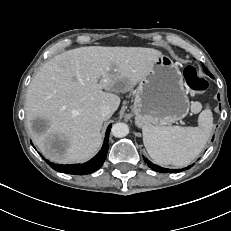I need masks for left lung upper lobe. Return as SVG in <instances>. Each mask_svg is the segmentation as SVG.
I'll return each instance as SVG.
<instances>
[{"label": "left lung upper lobe", "instance_id": "left-lung-upper-lobe-1", "mask_svg": "<svg viewBox=\"0 0 231 231\" xmlns=\"http://www.w3.org/2000/svg\"><path fill=\"white\" fill-rule=\"evenodd\" d=\"M204 71L206 72V74H208L209 76L213 77V76L211 75V73L207 70V68H204Z\"/></svg>", "mask_w": 231, "mask_h": 231}]
</instances>
